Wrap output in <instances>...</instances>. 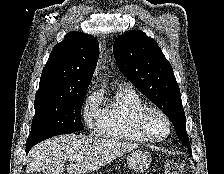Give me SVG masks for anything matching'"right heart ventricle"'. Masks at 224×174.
<instances>
[{"instance_id":"right-heart-ventricle-1","label":"right heart ventricle","mask_w":224,"mask_h":174,"mask_svg":"<svg viewBox=\"0 0 224 174\" xmlns=\"http://www.w3.org/2000/svg\"><path fill=\"white\" fill-rule=\"evenodd\" d=\"M144 105L134 90L118 89L113 98L102 107L99 135L116 141L147 142L148 140L138 133L134 124L135 114Z\"/></svg>"}]
</instances>
